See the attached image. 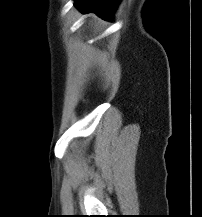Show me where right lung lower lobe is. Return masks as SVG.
Here are the masks:
<instances>
[{
	"instance_id": "98d812e1",
	"label": "right lung lower lobe",
	"mask_w": 202,
	"mask_h": 217,
	"mask_svg": "<svg viewBox=\"0 0 202 217\" xmlns=\"http://www.w3.org/2000/svg\"><path fill=\"white\" fill-rule=\"evenodd\" d=\"M120 0H75L76 6H81L84 14L94 12L107 20Z\"/></svg>"
}]
</instances>
